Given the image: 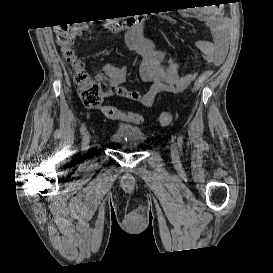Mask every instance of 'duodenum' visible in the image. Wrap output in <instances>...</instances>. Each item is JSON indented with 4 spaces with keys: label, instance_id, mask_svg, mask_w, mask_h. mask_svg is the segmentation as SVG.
Masks as SVG:
<instances>
[{
    "label": "duodenum",
    "instance_id": "410a0bca",
    "mask_svg": "<svg viewBox=\"0 0 273 273\" xmlns=\"http://www.w3.org/2000/svg\"><path fill=\"white\" fill-rule=\"evenodd\" d=\"M147 23L146 16H130L125 18H114L109 20L108 28L111 31H121L128 33L132 29L145 26Z\"/></svg>",
    "mask_w": 273,
    "mask_h": 273
}]
</instances>
